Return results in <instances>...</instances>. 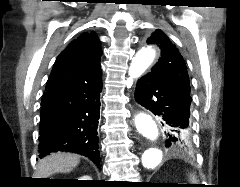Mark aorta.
I'll list each match as a JSON object with an SVG mask.
<instances>
[{
	"label": "aorta",
	"instance_id": "762f6f07",
	"mask_svg": "<svg viewBox=\"0 0 240 187\" xmlns=\"http://www.w3.org/2000/svg\"><path fill=\"white\" fill-rule=\"evenodd\" d=\"M156 52L152 47L141 49L131 61L129 75L132 78L140 77L154 61ZM135 126L138 132L146 139L155 142L159 138L156 122L146 113L135 117ZM163 158V151L159 146L147 147L142 153V165L147 169L155 168Z\"/></svg>",
	"mask_w": 240,
	"mask_h": 187
}]
</instances>
